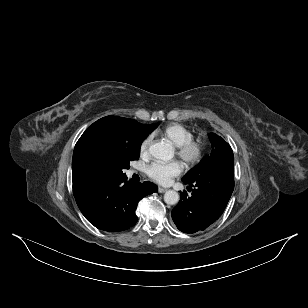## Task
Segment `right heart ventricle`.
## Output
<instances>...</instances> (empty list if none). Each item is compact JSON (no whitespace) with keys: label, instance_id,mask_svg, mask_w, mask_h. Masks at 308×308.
<instances>
[{"label":"right heart ventricle","instance_id":"obj_1","mask_svg":"<svg viewBox=\"0 0 308 308\" xmlns=\"http://www.w3.org/2000/svg\"><path fill=\"white\" fill-rule=\"evenodd\" d=\"M161 137L178 147L193 137V132L179 123H171L159 131Z\"/></svg>","mask_w":308,"mask_h":308}]
</instances>
